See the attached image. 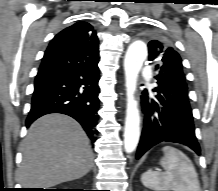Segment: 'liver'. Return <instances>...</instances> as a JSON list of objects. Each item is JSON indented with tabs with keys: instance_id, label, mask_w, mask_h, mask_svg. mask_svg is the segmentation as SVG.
Wrapping results in <instances>:
<instances>
[{
	"instance_id": "1",
	"label": "liver",
	"mask_w": 218,
	"mask_h": 191,
	"mask_svg": "<svg viewBox=\"0 0 218 191\" xmlns=\"http://www.w3.org/2000/svg\"><path fill=\"white\" fill-rule=\"evenodd\" d=\"M20 182L25 188L52 187L85 176L93 167L90 141L73 118L49 114L29 128L22 145Z\"/></svg>"
}]
</instances>
